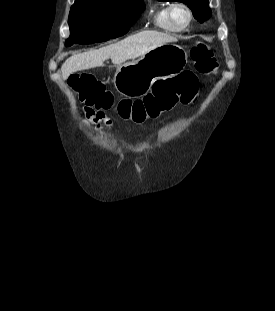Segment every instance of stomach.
Segmentation results:
<instances>
[{
	"label": "stomach",
	"instance_id": "stomach-1",
	"mask_svg": "<svg viewBox=\"0 0 275 311\" xmlns=\"http://www.w3.org/2000/svg\"><path fill=\"white\" fill-rule=\"evenodd\" d=\"M187 58L181 46L163 44L135 61L118 65L113 78L114 87L126 97H141L150 90L156 79L172 78L181 73Z\"/></svg>",
	"mask_w": 275,
	"mask_h": 311
}]
</instances>
